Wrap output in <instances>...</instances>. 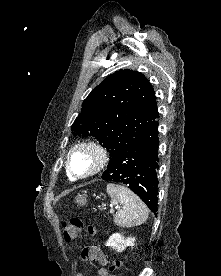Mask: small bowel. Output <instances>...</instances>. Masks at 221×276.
<instances>
[{
    "label": "small bowel",
    "instance_id": "1",
    "mask_svg": "<svg viewBox=\"0 0 221 276\" xmlns=\"http://www.w3.org/2000/svg\"><path fill=\"white\" fill-rule=\"evenodd\" d=\"M81 257L87 262H99L103 266L107 264V260L98 246L84 247L81 252ZM99 276H114L110 274L106 267H102L98 271ZM76 276H83L81 273H77Z\"/></svg>",
    "mask_w": 221,
    "mask_h": 276
}]
</instances>
